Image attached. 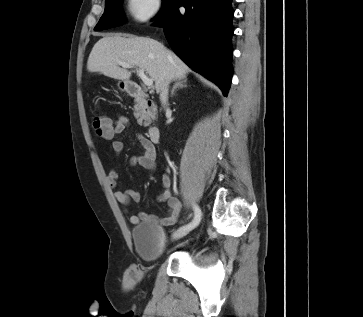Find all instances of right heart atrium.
<instances>
[{"mask_svg": "<svg viewBox=\"0 0 363 317\" xmlns=\"http://www.w3.org/2000/svg\"><path fill=\"white\" fill-rule=\"evenodd\" d=\"M126 11L136 22H149L161 12V0H126Z\"/></svg>", "mask_w": 363, "mask_h": 317, "instance_id": "d8ad5b80", "label": "right heart atrium"}]
</instances>
